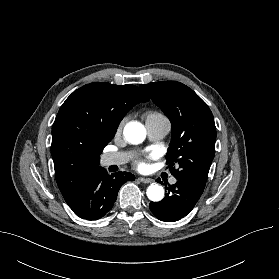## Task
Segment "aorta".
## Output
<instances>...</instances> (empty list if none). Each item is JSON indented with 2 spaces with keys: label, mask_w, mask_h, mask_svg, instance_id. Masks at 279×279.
<instances>
[{
  "label": "aorta",
  "mask_w": 279,
  "mask_h": 279,
  "mask_svg": "<svg viewBox=\"0 0 279 279\" xmlns=\"http://www.w3.org/2000/svg\"><path fill=\"white\" fill-rule=\"evenodd\" d=\"M124 137L132 144H140L146 137V129L139 122H129L124 127ZM147 197L154 202H158L164 197V189L162 186L156 183H152L147 188Z\"/></svg>",
  "instance_id": "1"
}]
</instances>
